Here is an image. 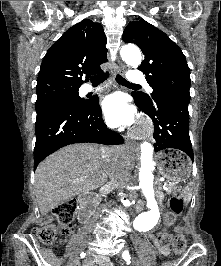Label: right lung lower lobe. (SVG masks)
<instances>
[{
  "label": "right lung lower lobe",
  "instance_id": "1",
  "mask_svg": "<svg viewBox=\"0 0 221 266\" xmlns=\"http://www.w3.org/2000/svg\"><path fill=\"white\" fill-rule=\"evenodd\" d=\"M123 144V137L108 129L98 97L82 105L63 103L37 115L34 170L48 155L73 143Z\"/></svg>",
  "mask_w": 221,
  "mask_h": 266
}]
</instances>
